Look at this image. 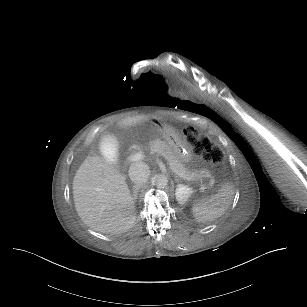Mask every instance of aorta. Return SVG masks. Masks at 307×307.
<instances>
[{
	"label": "aorta",
	"mask_w": 307,
	"mask_h": 307,
	"mask_svg": "<svg viewBox=\"0 0 307 307\" xmlns=\"http://www.w3.org/2000/svg\"><path fill=\"white\" fill-rule=\"evenodd\" d=\"M152 184L157 188H164L168 184V178L164 174H156L152 178Z\"/></svg>",
	"instance_id": "obj_1"
}]
</instances>
